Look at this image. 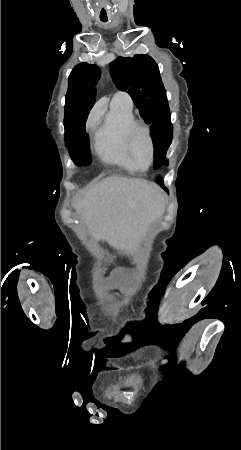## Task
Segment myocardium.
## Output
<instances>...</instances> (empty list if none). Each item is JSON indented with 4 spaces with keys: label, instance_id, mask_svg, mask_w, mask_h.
Segmentation results:
<instances>
[{
    "label": "myocardium",
    "instance_id": "myocardium-1",
    "mask_svg": "<svg viewBox=\"0 0 241 450\" xmlns=\"http://www.w3.org/2000/svg\"><path fill=\"white\" fill-rule=\"evenodd\" d=\"M137 121H142V116H137ZM145 127H147V122H135L125 128V133L130 135L125 136L123 138V141L125 143H128L126 144V149L130 150L129 156L131 157V162H140L141 159L139 157L137 148H135V144H141L144 142V140L146 143L148 142L147 144H145L147 149L145 156L150 157V162H155L156 153L154 152V148H152L150 138L154 137V132H149V130L145 129Z\"/></svg>",
    "mask_w": 241,
    "mask_h": 450
}]
</instances>
